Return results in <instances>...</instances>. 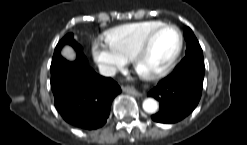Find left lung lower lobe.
I'll use <instances>...</instances> for the list:
<instances>
[{"mask_svg": "<svg viewBox=\"0 0 247 145\" xmlns=\"http://www.w3.org/2000/svg\"><path fill=\"white\" fill-rule=\"evenodd\" d=\"M203 79V55L185 56L176 69L148 93L160 102V110L152 119L175 123L188 116L201 98Z\"/></svg>", "mask_w": 247, "mask_h": 145, "instance_id": "left-lung-lower-lobe-1", "label": "left lung lower lobe"}]
</instances>
